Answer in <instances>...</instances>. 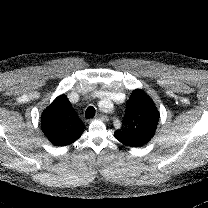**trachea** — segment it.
I'll return each instance as SVG.
<instances>
[{"label":"trachea","instance_id":"3493384b","mask_svg":"<svg viewBox=\"0 0 208 208\" xmlns=\"http://www.w3.org/2000/svg\"><path fill=\"white\" fill-rule=\"evenodd\" d=\"M95 113H96V110L93 106H89L87 109H86V112H85V116L86 118H93L95 116Z\"/></svg>","mask_w":208,"mask_h":208}]
</instances>
